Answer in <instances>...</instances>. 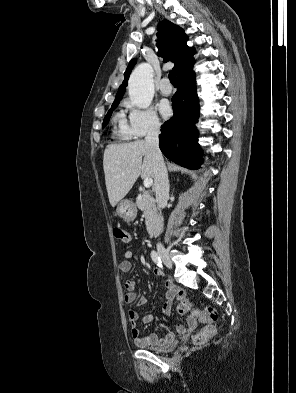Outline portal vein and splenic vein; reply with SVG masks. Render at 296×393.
<instances>
[{"label": "portal vein and splenic vein", "mask_w": 296, "mask_h": 393, "mask_svg": "<svg viewBox=\"0 0 296 393\" xmlns=\"http://www.w3.org/2000/svg\"><path fill=\"white\" fill-rule=\"evenodd\" d=\"M152 184H153L152 178H145V179H144V186H145L146 188L151 187Z\"/></svg>", "instance_id": "portal-vein-and-splenic-vein-1"}]
</instances>
